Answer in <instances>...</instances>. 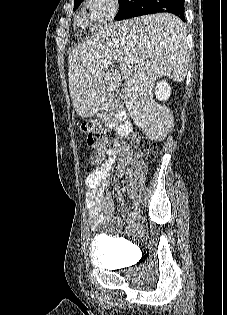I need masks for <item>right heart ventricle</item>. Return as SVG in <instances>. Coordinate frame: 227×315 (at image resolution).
<instances>
[{
  "instance_id": "e07e8e85",
  "label": "right heart ventricle",
  "mask_w": 227,
  "mask_h": 315,
  "mask_svg": "<svg viewBox=\"0 0 227 315\" xmlns=\"http://www.w3.org/2000/svg\"><path fill=\"white\" fill-rule=\"evenodd\" d=\"M91 19L84 11H80L76 16V23L81 29L89 27Z\"/></svg>"
}]
</instances>
